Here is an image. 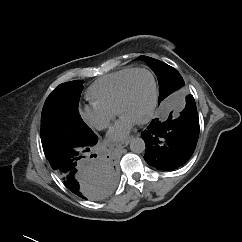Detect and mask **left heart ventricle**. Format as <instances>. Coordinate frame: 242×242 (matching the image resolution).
I'll return each instance as SVG.
<instances>
[{"label": "left heart ventricle", "instance_id": "1", "mask_svg": "<svg viewBox=\"0 0 242 242\" xmlns=\"http://www.w3.org/2000/svg\"><path fill=\"white\" fill-rule=\"evenodd\" d=\"M152 94L153 85L150 76L144 72L135 74L129 81L120 114L138 122L147 115Z\"/></svg>", "mask_w": 242, "mask_h": 242}]
</instances>
